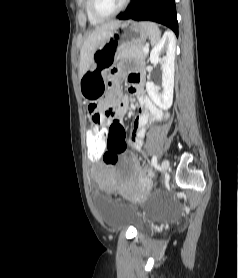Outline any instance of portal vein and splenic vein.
<instances>
[{
  "label": "portal vein and splenic vein",
  "instance_id": "portal-vein-and-splenic-vein-1",
  "mask_svg": "<svg viewBox=\"0 0 238 278\" xmlns=\"http://www.w3.org/2000/svg\"><path fill=\"white\" fill-rule=\"evenodd\" d=\"M143 51H144L145 53H147V52L149 51L148 47H144V48H143Z\"/></svg>",
  "mask_w": 238,
  "mask_h": 278
}]
</instances>
